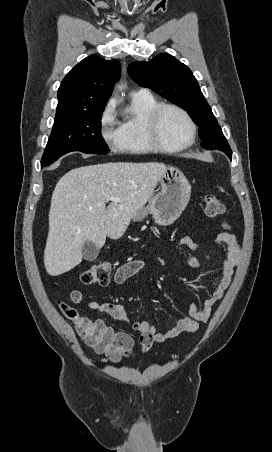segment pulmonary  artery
Segmentation results:
<instances>
[{"label": "pulmonary artery", "mask_w": 272, "mask_h": 452, "mask_svg": "<svg viewBox=\"0 0 272 452\" xmlns=\"http://www.w3.org/2000/svg\"><path fill=\"white\" fill-rule=\"evenodd\" d=\"M139 92H148L146 89H142Z\"/></svg>", "instance_id": "pulmonary-artery-1"}]
</instances>
